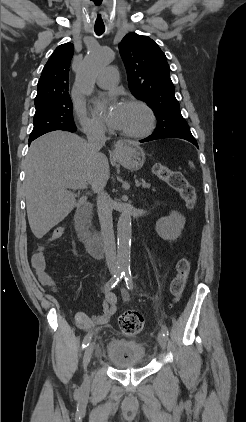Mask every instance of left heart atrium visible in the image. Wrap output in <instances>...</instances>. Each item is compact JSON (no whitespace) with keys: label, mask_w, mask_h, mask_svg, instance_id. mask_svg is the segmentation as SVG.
I'll return each mask as SVG.
<instances>
[{"label":"left heart atrium","mask_w":246,"mask_h":422,"mask_svg":"<svg viewBox=\"0 0 246 422\" xmlns=\"http://www.w3.org/2000/svg\"><path fill=\"white\" fill-rule=\"evenodd\" d=\"M106 107L102 119L113 128H120L122 124L124 104L112 97L106 101H99L96 104V109L99 110Z\"/></svg>","instance_id":"39dd6f15"}]
</instances>
